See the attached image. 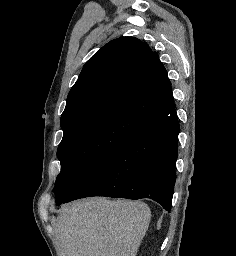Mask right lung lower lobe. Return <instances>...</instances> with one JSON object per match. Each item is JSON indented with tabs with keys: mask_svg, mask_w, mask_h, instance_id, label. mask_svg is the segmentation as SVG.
Here are the masks:
<instances>
[{
	"mask_svg": "<svg viewBox=\"0 0 236 256\" xmlns=\"http://www.w3.org/2000/svg\"><path fill=\"white\" fill-rule=\"evenodd\" d=\"M178 134L173 107L137 130L57 205L89 196L150 198L170 212Z\"/></svg>",
	"mask_w": 236,
	"mask_h": 256,
	"instance_id": "right-lung-lower-lobe-1",
	"label": "right lung lower lobe"
}]
</instances>
